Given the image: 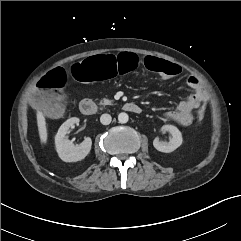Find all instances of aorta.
<instances>
[{
  "instance_id": "obj_1",
  "label": "aorta",
  "mask_w": 241,
  "mask_h": 241,
  "mask_svg": "<svg viewBox=\"0 0 241 241\" xmlns=\"http://www.w3.org/2000/svg\"><path fill=\"white\" fill-rule=\"evenodd\" d=\"M128 120H129V116H128L127 113L122 112V113H120V114L118 115V121H119V123L124 124V123H127Z\"/></svg>"
}]
</instances>
